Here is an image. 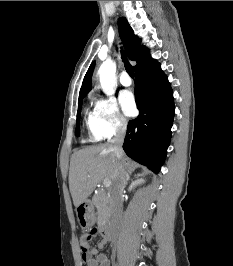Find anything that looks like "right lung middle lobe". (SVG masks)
<instances>
[{
  "instance_id": "right-lung-middle-lobe-1",
  "label": "right lung middle lobe",
  "mask_w": 233,
  "mask_h": 266,
  "mask_svg": "<svg viewBox=\"0 0 233 266\" xmlns=\"http://www.w3.org/2000/svg\"><path fill=\"white\" fill-rule=\"evenodd\" d=\"M82 99L79 98V103H78V112H77V123H76V132L79 134V124H80V114H81V106H82Z\"/></svg>"
}]
</instances>
